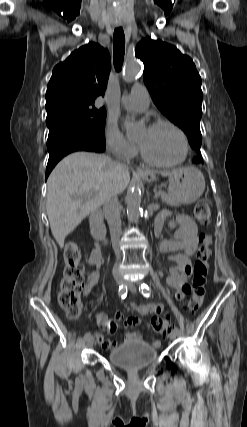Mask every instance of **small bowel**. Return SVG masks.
<instances>
[{"label":"small bowel","mask_w":247,"mask_h":427,"mask_svg":"<svg viewBox=\"0 0 247 427\" xmlns=\"http://www.w3.org/2000/svg\"><path fill=\"white\" fill-rule=\"evenodd\" d=\"M169 214L163 212L158 215L155 221L154 231L158 237H161L165 225L174 231L172 239H160L159 250L163 253H170V260L175 262L176 265L169 269V275L166 278V283L172 289L176 290V298L183 300L190 293V286L188 280L192 274L191 256L198 248V228L196 223L191 217L187 215H177L169 219ZM88 263L95 266L87 277L84 294L90 293L92 288L98 283L100 278V267L104 263V256L100 249L95 247L89 258ZM132 307L139 315L146 316L150 314H159L163 312L164 305L161 303H148L142 305L133 304ZM123 315L121 312H116L114 319H109L105 314L98 313L95 319L98 325L108 333H114L117 328V322L122 320ZM141 320L138 317L128 318L125 322L126 327L139 326ZM142 335L139 332H126L124 340L137 341L141 340ZM155 347L160 346V341L157 339L152 340ZM103 345L109 349L117 346L114 341L103 342Z\"/></svg>","instance_id":"small-bowel-1"}]
</instances>
